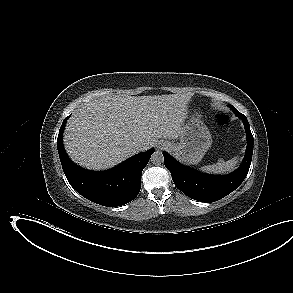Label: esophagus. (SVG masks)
<instances>
[{"mask_svg":"<svg viewBox=\"0 0 293 293\" xmlns=\"http://www.w3.org/2000/svg\"><path fill=\"white\" fill-rule=\"evenodd\" d=\"M165 148H167V145L165 144V143H163V144H161L159 147H158V149H165Z\"/></svg>","mask_w":293,"mask_h":293,"instance_id":"1","label":"esophagus"}]
</instances>
